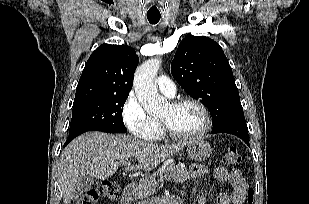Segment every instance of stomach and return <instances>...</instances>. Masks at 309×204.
Masks as SVG:
<instances>
[{
  "mask_svg": "<svg viewBox=\"0 0 309 204\" xmlns=\"http://www.w3.org/2000/svg\"><path fill=\"white\" fill-rule=\"evenodd\" d=\"M188 157L194 161H205L212 153L211 145L201 138L192 139L187 144Z\"/></svg>",
  "mask_w": 309,
  "mask_h": 204,
  "instance_id": "stomach-1",
  "label": "stomach"
}]
</instances>
